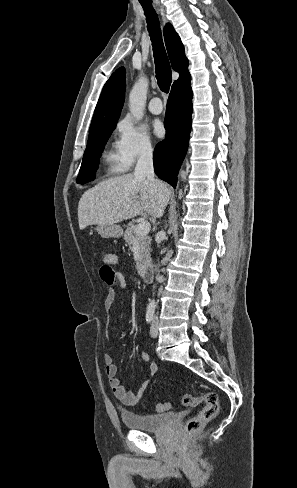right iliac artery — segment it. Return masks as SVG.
<instances>
[{
  "label": "right iliac artery",
  "instance_id": "82829eb1",
  "mask_svg": "<svg viewBox=\"0 0 297 488\" xmlns=\"http://www.w3.org/2000/svg\"><path fill=\"white\" fill-rule=\"evenodd\" d=\"M154 307L152 306H149L147 308V312H146V321L148 323H151L153 321V318H154Z\"/></svg>",
  "mask_w": 297,
  "mask_h": 488
}]
</instances>
